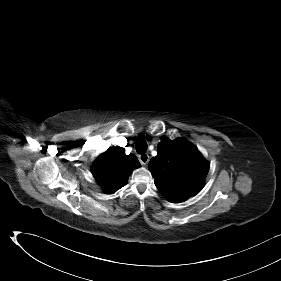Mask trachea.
I'll return each instance as SVG.
<instances>
[{
  "mask_svg": "<svg viewBox=\"0 0 281 281\" xmlns=\"http://www.w3.org/2000/svg\"><path fill=\"white\" fill-rule=\"evenodd\" d=\"M135 148L137 153L143 154L147 150V142L143 138H138L135 142Z\"/></svg>",
  "mask_w": 281,
  "mask_h": 281,
  "instance_id": "trachea-1",
  "label": "trachea"
}]
</instances>
